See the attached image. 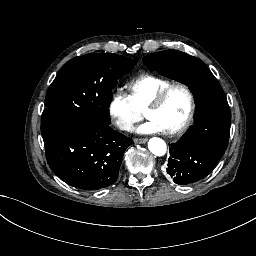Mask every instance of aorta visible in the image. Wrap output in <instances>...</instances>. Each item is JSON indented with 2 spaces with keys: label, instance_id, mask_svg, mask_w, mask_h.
Listing matches in <instances>:
<instances>
[{
  "label": "aorta",
  "instance_id": "obj_1",
  "mask_svg": "<svg viewBox=\"0 0 256 256\" xmlns=\"http://www.w3.org/2000/svg\"><path fill=\"white\" fill-rule=\"evenodd\" d=\"M148 149L152 154L161 157L166 154L167 145L163 139L159 137H153L148 142Z\"/></svg>",
  "mask_w": 256,
  "mask_h": 256
}]
</instances>
